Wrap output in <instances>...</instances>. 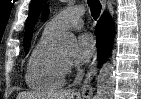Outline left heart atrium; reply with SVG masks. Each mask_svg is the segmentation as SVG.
<instances>
[{
  "mask_svg": "<svg viewBox=\"0 0 141 99\" xmlns=\"http://www.w3.org/2000/svg\"><path fill=\"white\" fill-rule=\"evenodd\" d=\"M95 49V40L90 34H82L78 37V50L75 61L78 64L87 62Z\"/></svg>",
  "mask_w": 141,
  "mask_h": 99,
  "instance_id": "39dd6f15",
  "label": "left heart atrium"
}]
</instances>
